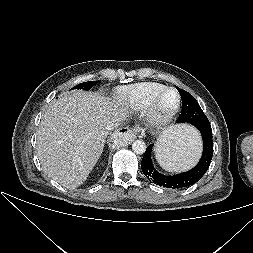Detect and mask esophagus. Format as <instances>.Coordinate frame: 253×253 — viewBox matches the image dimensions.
I'll use <instances>...</instances> for the list:
<instances>
[{"instance_id": "obj_1", "label": "esophagus", "mask_w": 253, "mask_h": 253, "mask_svg": "<svg viewBox=\"0 0 253 253\" xmlns=\"http://www.w3.org/2000/svg\"><path fill=\"white\" fill-rule=\"evenodd\" d=\"M139 128L138 127H134V128H121L120 131H118L119 134H128L130 135L133 139L136 138L135 134L136 132H139Z\"/></svg>"}]
</instances>
